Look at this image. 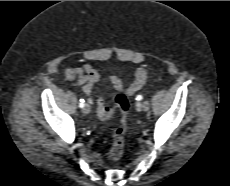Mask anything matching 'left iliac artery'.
I'll return each mask as SVG.
<instances>
[{
	"mask_svg": "<svg viewBox=\"0 0 230 186\" xmlns=\"http://www.w3.org/2000/svg\"><path fill=\"white\" fill-rule=\"evenodd\" d=\"M143 99V97L141 96V95H138L137 97H136V100L137 101H140V100H142Z\"/></svg>",
	"mask_w": 230,
	"mask_h": 186,
	"instance_id": "obj_1",
	"label": "left iliac artery"
}]
</instances>
